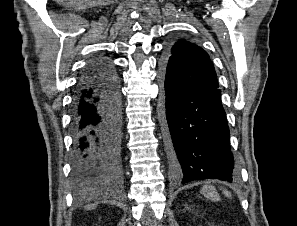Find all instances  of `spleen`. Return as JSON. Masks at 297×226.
Wrapping results in <instances>:
<instances>
[{
  "instance_id": "spleen-1",
  "label": "spleen",
  "mask_w": 297,
  "mask_h": 226,
  "mask_svg": "<svg viewBox=\"0 0 297 226\" xmlns=\"http://www.w3.org/2000/svg\"><path fill=\"white\" fill-rule=\"evenodd\" d=\"M201 193L211 199L214 202L220 201V196L216 190V188L212 185H205L201 188ZM223 193L225 194V196H227L228 198H231V193L228 190H223Z\"/></svg>"
}]
</instances>
